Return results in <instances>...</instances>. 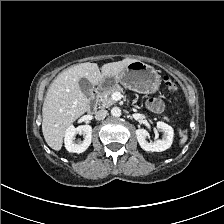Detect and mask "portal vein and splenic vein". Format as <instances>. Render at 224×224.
<instances>
[{
  "label": "portal vein and splenic vein",
  "instance_id": "18ae733b",
  "mask_svg": "<svg viewBox=\"0 0 224 224\" xmlns=\"http://www.w3.org/2000/svg\"><path fill=\"white\" fill-rule=\"evenodd\" d=\"M123 95L120 92H114L111 96L112 100L119 101L121 100Z\"/></svg>",
  "mask_w": 224,
  "mask_h": 224
}]
</instances>
